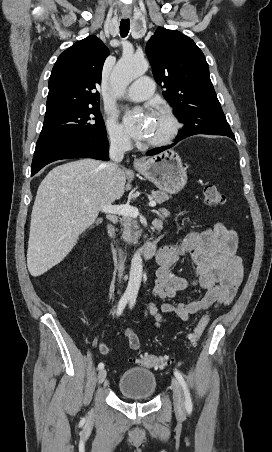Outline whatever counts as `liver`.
<instances>
[{"mask_svg": "<svg viewBox=\"0 0 272 452\" xmlns=\"http://www.w3.org/2000/svg\"><path fill=\"white\" fill-rule=\"evenodd\" d=\"M126 175L109 177L103 162L80 159L53 168L38 187L27 251V267L38 277L59 264L98 217L102 205L124 194Z\"/></svg>", "mask_w": 272, "mask_h": 452, "instance_id": "obj_1", "label": "liver"}]
</instances>
